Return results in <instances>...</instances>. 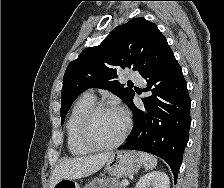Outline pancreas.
<instances>
[{
	"mask_svg": "<svg viewBox=\"0 0 224 188\" xmlns=\"http://www.w3.org/2000/svg\"><path fill=\"white\" fill-rule=\"evenodd\" d=\"M85 188H125V186L118 182L115 178H96L90 181Z\"/></svg>",
	"mask_w": 224,
	"mask_h": 188,
	"instance_id": "1",
	"label": "pancreas"
}]
</instances>
